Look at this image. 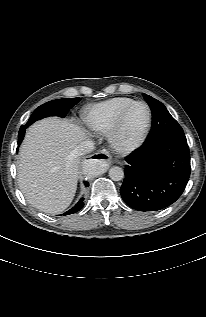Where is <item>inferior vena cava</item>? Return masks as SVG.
I'll return each mask as SVG.
<instances>
[{
	"label": "inferior vena cava",
	"mask_w": 206,
	"mask_h": 317,
	"mask_svg": "<svg viewBox=\"0 0 206 317\" xmlns=\"http://www.w3.org/2000/svg\"><path fill=\"white\" fill-rule=\"evenodd\" d=\"M94 150V142L91 140H85L82 141L78 146H77V153L79 155H84L87 153H90Z\"/></svg>",
	"instance_id": "602c4592"
}]
</instances>
